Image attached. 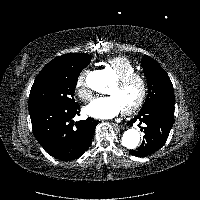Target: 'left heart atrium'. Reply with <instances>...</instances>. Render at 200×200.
<instances>
[{
	"label": "left heart atrium",
	"mask_w": 200,
	"mask_h": 200,
	"mask_svg": "<svg viewBox=\"0 0 200 200\" xmlns=\"http://www.w3.org/2000/svg\"><path fill=\"white\" fill-rule=\"evenodd\" d=\"M123 107L116 96L98 97L91 101L85 112L94 118L111 119L123 112Z\"/></svg>",
	"instance_id": "left-heart-atrium-1"
}]
</instances>
